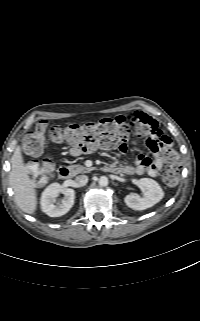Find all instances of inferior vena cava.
Here are the masks:
<instances>
[{
  "label": "inferior vena cava",
  "instance_id": "602c4592",
  "mask_svg": "<svg viewBox=\"0 0 200 321\" xmlns=\"http://www.w3.org/2000/svg\"><path fill=\"white\" fill-rule=\"evenodd\" d=\"M75 181L78 186H85L88 182V177L86 175H79L75 178Z\"/></svg>",
  "mask_w": 200,
  "mask_h": 321
}]
</instances>
